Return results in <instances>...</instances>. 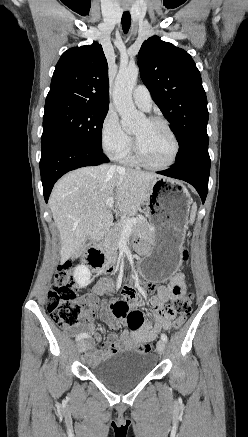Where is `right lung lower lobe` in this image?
<instances>
[{"label": "right lung lower lobe", "mask_w": 248, "mask_h": 437, "mask_svg": "<svg viewBox=\"0 0 248 437\" xmlns=\"http://www.w3.org/2000/svg\"><path fill=\"white\" fill-rule=\"evenodd\" d=\"M41 144L40 172L46 202L55 182L65 173L108 162L103 150L74 139L57 137Z\"/></svg>", "instance_id": "1"}]
</instances>
